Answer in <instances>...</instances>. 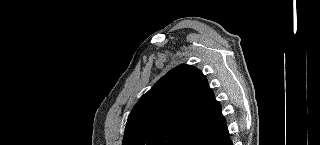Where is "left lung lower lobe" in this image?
Returning a JSON list of instances; mask_svg holds the SVG:
<instances>
[{"label":"left lung lower lobe","instance_id":"0a47b994","mask_svg":"<svg viewBox=\"0 0 320 145\" xmlns=\"http://www.w3.org/2000/svg\"><path fill=\"white\" fill-rule=\"evenodd\" d=\"M178 145H233L219 102L216 101L211 115L190 130Z\"/></svg>","mask_w":320,"mask_h":145}]
</instances>
